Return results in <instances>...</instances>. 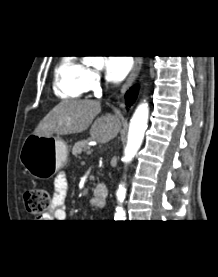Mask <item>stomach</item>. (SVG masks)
Returning <instances> with one entry per match:
<instances>
[{"instance_id":"0dacf381","label":"stomach","mask_w":218,"mask_h":277,"mask_svg":"<svg viewBox=\"0 0 218 277\" xmlns=\"http://www.w3.org/2000/svg\"><path fill=\"white\" fill-rule=\"evenodd\" d=\"M67 143L56 136H27L22 144L19 160L37 179L53 176L68 161Z\"/></svg>"}]
</instances>
